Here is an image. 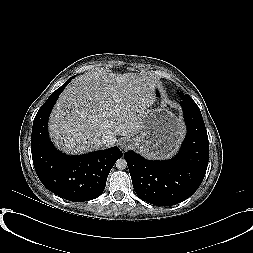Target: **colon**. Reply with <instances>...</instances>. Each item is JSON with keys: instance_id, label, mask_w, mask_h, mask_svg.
I'll return each mask as SVG.
<instances>
[{"instance_id": "1", "label": "colon", "mask_w": 253, "mask_h": 253, "mask_svg": "<svg viewBox=\"0 0 253 253\" xmlns=\"http://www.w3.org/2000/svg\"><path fill=\"white\" fill-rule=\"evenodd\" d=\"M152 92H153L154 96L157 97V98L160 97L161 94H162L161 89L158 88V87L154 88Z\"/></svg>"}]
</instances>
